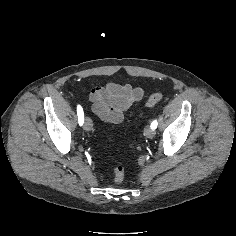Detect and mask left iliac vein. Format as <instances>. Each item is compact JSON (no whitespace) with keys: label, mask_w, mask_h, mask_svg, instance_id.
I'll return each mask as SVG.
<instances>
[{"label":"left iliac vein","mask_w":236,"mask_h":236,"mask_svg":"<svg viewBox=\"0 0 236 236\" xmlns=\"http://www.w3.org/2000/svg\"><path fill=\"white\" fill-rule=\"evenodd\" d=\"M144 135L147 138H153L155 136V130L152 129L151 127L147 126L144 130Z\"/></svg>","instance_id":"1"}]
</instances>
